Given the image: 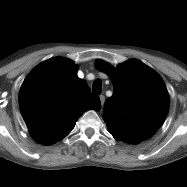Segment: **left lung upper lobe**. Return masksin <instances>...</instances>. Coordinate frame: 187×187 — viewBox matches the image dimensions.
<instances>
[{
    "mask_svg": "<svg viewBox=\"0 0 187 187\" xmlns=\"http://www.w3.org/2000/svg\"><path fill=\"white\" fill-rule=\"evenodd\" d=\"M95 67L106 73L113 84V95L106 100L102 116L109 133L131 144L151 137L163 124L170 105L159 74L136 59L116 68L97 60Z\"/></svg>",
    "mask_w": 187,
    "mask_h": 187,
    "instance_id": "5c2ea615",
    "label": "left lung upper lobe"
}]
</instances>
